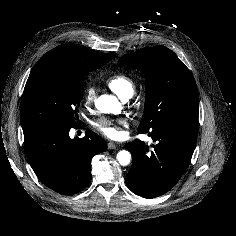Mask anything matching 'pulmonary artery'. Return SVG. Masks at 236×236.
<instances>
[{"label": "pulmonary artery", "mask_w": 236, "mask_h": 236, "mask_svg": "<svg viewBox=\"0 0 236 236\" xmlns=\"http://www.w3.org/2000/svg\"><path fill=\"white\" fill-rule=\"evenodd\" d=\"M128 98H129V97H127V98H123V100L126 101Z\"/></svg>", "instance_id": "1"}]
</instances>
